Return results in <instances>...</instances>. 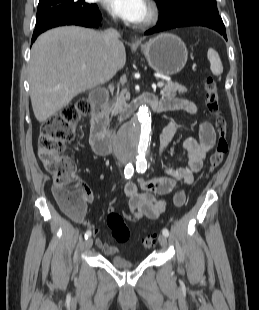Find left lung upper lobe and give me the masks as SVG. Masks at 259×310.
<instances>
[{"mask_svg":"<svg viewBox=\"0 0 259 310\" xmlns=\"http://www.w3.org/2000/svg\"><path fill=\"white\" fill-rule=\"evenodd\" d=\"M160 8L158 24H164L190 14L219 15L215 0H156Z\"/></svg>","mask_w":259,"mask_h":310,"instance_id":"obj_1","label":"left lung upper lobe"}]
</instances>
